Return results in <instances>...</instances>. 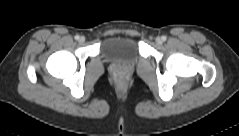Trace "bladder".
<instances>
[{
  "label": "bladder",
  "mask_w": 239,
  "mask_h": 136,
  "mask_svg": "<svg viewBox=\"0 0 239 136\" xmlns=\"http://www.w3.org/2000/svg\"><path fill=\"white\" fill-rule=\"evenodd\" d=\"M139 54L138 40L129 35L109 36L101 45V56L107 61L134 63L138 60Z\"/></svg>",
  "instance_id": "31cf9c89"
}]
</instances>
